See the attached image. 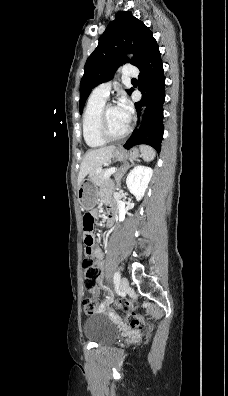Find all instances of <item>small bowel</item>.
I'll return each instance as SVG.
<instances>
[{"label":"small bowel","mask_w":228,"mask_h":396,"mask_svg":"<svg viewBox=\"0 0 228 396\" xmlns=\"http://www.w3.org/2000/svg\"><path fill=\"white\" fill-rule=\"evenodd\" d=\"M103 201H104V203L106 204V206L108 208V216H109V218H111L112 215H113V209H112V206H111V202L105 195H103ZM92 254L96 258V260L100 263V265H102L101 262H102V259H103V252L101 251V249H99L98 247L93 246L92 247ZM102 282H103L102 277H99L98 278V284L101 285ZM89 291H91V293L94 296H99L100 295V289L98 287H94L93 289H91ZM110 303H111L110 300L105 301L103 304H101L100 310H106L109 307Z\"/></svg>","instance_id":"obj_1"}]
</instances>
